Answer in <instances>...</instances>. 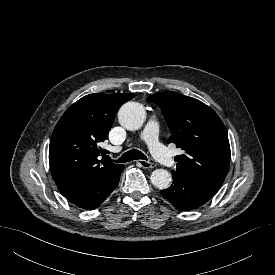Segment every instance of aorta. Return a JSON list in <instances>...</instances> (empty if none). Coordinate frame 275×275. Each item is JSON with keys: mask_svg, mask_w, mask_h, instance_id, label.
Here are the masks:
<instances>
[{"mask_svg": "<svg viewBox=\"0 0 275 275\" xmlns=\"http://www.w3.org/2000/svg\"><path fill=\"white\" fill-rule=\"evenodd\" d=\"M146 114L144 107L138 102L125 103L118 112L120 124L127 130H138L145 122ZM150 180L160 189H167L171 182V175L165 169H156L152 172Z\"/></svg>", "mask_w": 275, "mask_h": 275, "instance_id": "762f6f07", "label": "aorta"}]
</instances>
